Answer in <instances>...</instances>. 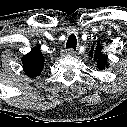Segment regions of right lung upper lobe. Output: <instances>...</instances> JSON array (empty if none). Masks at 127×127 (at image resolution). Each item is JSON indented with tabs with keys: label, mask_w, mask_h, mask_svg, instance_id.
<instances>
[{
	"label": "right lung upper lobe",
	"mask_w": 127,
	"mask_h": 127,
	"mask_svg": "<svg viewBox=\"0 0 127 127\" xmlns=\"http://www.w3.org/2000/svg\"><path fill=\"white\" fill-rule=\"evenodd\" d=\"M45 59L38 47H34L28 54L22 57L25 73L32 77L40 75L43 70Z\"/></svg>",
	"instance_id": "obj_1"
}]
</instances>
